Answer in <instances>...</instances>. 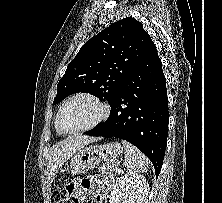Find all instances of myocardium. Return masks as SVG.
I'll return each instance as SVG.
<instances>
[{"mask_svg": "<svg viewBox=\"0 0 222 203\" xmlns=\"http://www.w3.org/2000/svg\"><path fill=\"white\" fill-rule=\"evenodd\" d=\"M76 99H88L92 102H94L95 104H97L101 110V113L99 115V117L94 121L92 122L91 124L85 126V127H82V128H79V129H76V130H71V131H68V130H65L62 128L61 124H60V117H61V114L64 110V108L70 103L72 102L73 100H76ZM110 114V107L107 103H105L102 99H100L99 97L93 95V94H89V93H79V94H76V95H73L71 96L70 98H68L60 107V109L58 110V113L56 115V120H55V125H56V128L57 130L62 133V134H65V135H75V134H79V133H83V132H87L89 130H92L94 129L95 127H97L98 125H100L104 120H106L108 118Z\"/></svg>", "mask_w": 222, "mask_h": 203, "instance_id": "obj_1", "label": "myocardium"}]
</instances>
